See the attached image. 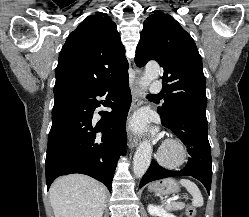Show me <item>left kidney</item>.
Wrapping results in <instances>:
<instances>
[{
	"mask_svg": "<svg viewBox=\"0 0 249 217\" xmlns=\"http://www.w3.org/2000/svg\"><path fill=\"white\" fill-rule=\"evenodd\" d=\"M147 210L148 213L154 217H176L173 214L167 213L162 207L153 204H149Z\"/></svg>",
	"mask_w": 249,
	"mask_h": 217,
	"instance_id": "5707ae66",
	"label": "left kidney"
}]
</instances>
